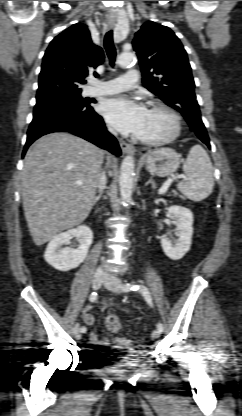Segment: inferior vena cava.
Wrapping results in <instances>:
<instances>
[{"mask_svg":"<svg viewBox=\"0 0 242 416\" xmlns=\"http://www.w3.org/2000/svg\"><path fill=\"white\" fill-rule=\"evenodd\" d=\"M109 130H110V132H112L113 134L116 135V132L113 129L109 128ZM105 185H106V175H105V172H102L100 174V178H99V181H98V187H99L100 191H102L105 188ZM100 270L103 271L102 268H100Z\"/></svg>","mask_w":242,"mask_h":416,"instance_id":"obj_1","label":"inferior vena cava"}]
</instances>
